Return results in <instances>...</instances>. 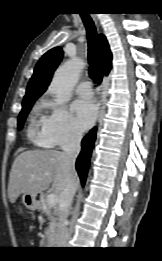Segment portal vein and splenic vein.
I'll use <instances>...</instances> for the list:
<instances>
[{"label": "portal vein and splenic vein", "instance_id": "obj_1", "mask_svg": "<svg viewBox=\"0 0 162 261\" xmlns=\"http://www.w3.org/2000/svg\"><path fill=\"white\" fill-rule=\"evenodd\" d=\"M32 178H35L32 176ZM59 202V197L56 194H49L47 196V203L50 207L56 206V204Z\"/></svg>", "mask_w": 162, "mask_h": 261}]
</instances>
